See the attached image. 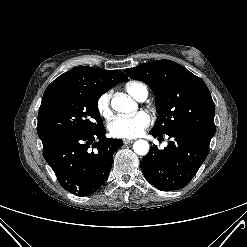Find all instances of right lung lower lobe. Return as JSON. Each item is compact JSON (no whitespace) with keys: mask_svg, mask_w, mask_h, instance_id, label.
Returning a JSON list of instances; mask_svg holds the SVG:
<instances>
[{"mask_svg":"<svg viewBox=\"0 0 247 247\" xmlns=\"http://www.w3.org/2000/svg\"><path fill=\"white\" fill-rule=\"evenodd\" d=\"M42 144L43 157L60 185L73 194L85 196L105 182L113 154L123 142L106 138L103 126L89 133L61 135Z\"/></svg>","mask_w":247,"mask_h":247,"instance_id":"right-lung-lower-lobe-1","label":"right lung lower lobe"}]
</instances>
